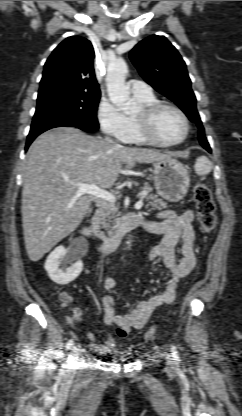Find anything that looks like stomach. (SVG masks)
<instances>
[{
	"instance_id": "stomach-1",
	"label": "stomach",
	"mask_w": 242,
	"mask_h": 416,
	"mask_svg": "<svg viewBox=\"0 0 242 416\" xmlns=\"http://www.w3.org/2000/svg\"><path fill=\"white\" fill-rule=\"evenodd\" d=\"M153 179L157 194L170 202L182 200L190 185L189 172L174 158L153 162Z\"/></svg>"
}]
</instances>
